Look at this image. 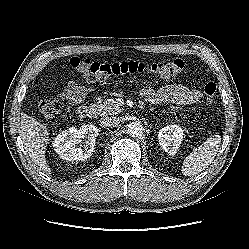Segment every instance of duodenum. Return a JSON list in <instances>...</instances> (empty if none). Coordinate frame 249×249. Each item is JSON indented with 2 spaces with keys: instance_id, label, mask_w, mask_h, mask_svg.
<instances>
[{
  "instance_id": "1",
  "label": "duodenum",
  "mask_w": 249,
  "mask_h": 249,
  "mask_svg": "<svg viewBox=\"0 0 249 249\" xmlns=\"http://www.w3.org/2000/svg\"><path fill=\"white\" fill-rule=\"evenodd\" d=\"M77 112H78V115L81 119H89V118L96 116L97 109L95 106L82 105V106L78 107Z\"/></svg>"
}]
</instances>
